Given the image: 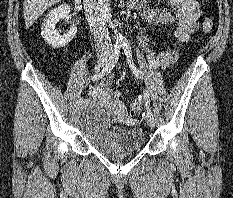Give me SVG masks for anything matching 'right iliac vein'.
I'll list each match as a JSON object with an SVG mask.
<instances>
[{
	"label": "right iliac vein",
	"mask_w": 233,
	"mask_h": 198,
	"mask_svg": "<svg viewBox=\"0 0 233 198\" xmlns=\"http://www.w3.org/2000/svg\"><path fill=\"white\" fill-rule=\"evenodd\" d=\"M108 58H109L108 52H105V51L99 52L98 53V67L100 68L104 64H106L108 61ZM83 108H84V106H80L77 108V110L80 112V111H82Z\"/></svg>",
	"instance_id": "63e3f726"
}]
</instances>
